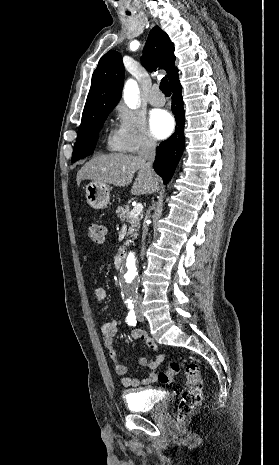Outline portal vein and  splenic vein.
<instances>
[{
  "label": "portal vein and splenic vein",
  "mask_w": 279,
  "mask_h": 465,
  "mask_svg": "<svg viewBox=\"0 0 279 465\" xmlns=\"http://www.w3.org/2000/svg\"><path fill=\"white\" fill-rule=\"evenodd\" d=\"M142 210H143L142 204L138 203L137 205L134 206V208L130 212V216L133 218H136L141 214Z\"/></svg>",
  "instance_id": "portal-vein-and-splenic-vein-1"
}]
</instances>
